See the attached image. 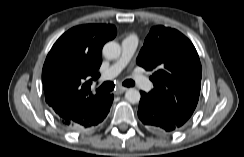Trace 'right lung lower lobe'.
Instances as JSON below:
<instances>
[{"instance_id":"98d812e1","label":"right lung lower lobe","mask_w":244,"mask_h":157,"mask_svg":"<svg viewBox=\"0 0 244 157\" xmlns=\"http://www.w3.org/2000/svg\"><path fill=\"white\" fill-rule=\"evenodd\" d=\"M112 101L113 95L105 94V98L101 103L92 108H88V110L84 112L82 116L73 118L71 120H62L60 118H58V120L64 126L74 131H84L93 128L105 119L110 111Z\"/></svg>"}]
</instances>
